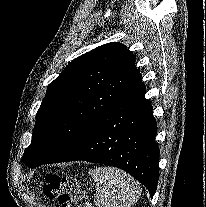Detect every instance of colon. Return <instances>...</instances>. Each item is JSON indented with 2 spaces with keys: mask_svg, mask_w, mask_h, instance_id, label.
<instances>
[{
  "mask_svg": "<svg viewBox=\"0 0 206 207\" xmlns=\"http://www.w3.org/2000/svg\"><path fill=\"white\" fill-rule=\"evenodd\" d=\"M44 193L50 199H57L61 207H82L84 192L79 189L75 178L49 173Z\"/></svg>",
  "mask_w": 206,
  "mask_h": 207,
  "instance_id": "1",
  "label": "colon"
}]
</instances>
